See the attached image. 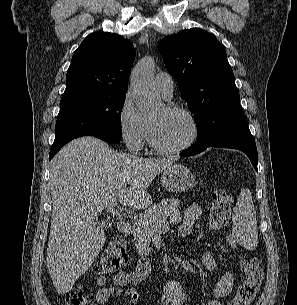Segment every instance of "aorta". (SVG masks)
Here are the masks:
<instances>
[{
  "label": "aorta",
  "instance_id": "aorta-1",
  "mask_svg": "<svg viewBox=\"0 0 297 305\" xmlns=\"http://www.w3.org/2000/svg\"><path fill=\"white\" fill-rule=\"evenodd\" d=\"M154 68V60L145 57L136 64L130 76L133 99L137 108L145 114H154L160 107L153 83Z\"/></svg>",
  "mask_w": 297,
  "mask_h": 305
}]
</instances>
